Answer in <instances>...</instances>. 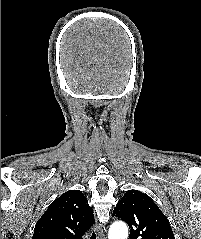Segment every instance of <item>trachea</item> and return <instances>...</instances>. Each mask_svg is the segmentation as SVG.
Returning a JSON list of instances; mask_svg holds the SVG:
<instances>
[{
    "label": "trachea",
    "mask_w": 201,
    "mask_h": 239,
    "mask_svg": "<svg viewBox=\"0 0 201 239\" xmlns=\"http://www.w3.org/2000/svg\"><path fill=\"white\" fill-rule=\"evenodd\" d=\"M90 239H97L95 232L92 233V236L90 237Z\"/></svg>",
    "instance_id": "trachea-1"
}]
</instances>
